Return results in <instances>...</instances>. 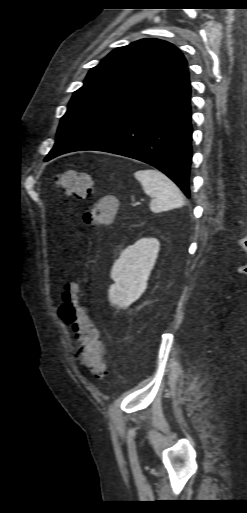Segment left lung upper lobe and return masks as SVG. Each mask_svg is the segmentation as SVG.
Segmentation results:
<instances>
[{"label": "left lung upper lobe", "instance_id": "5c2ea615", "mask_svg": "<svg viewBox=\"0 0 247 513\" xmlns=\"http://www.w3.org/2000/svg\"><path fill=\"white\" fill-rule=\"evenodd\" d=\"M186 67L183 54L171 43L159 39H141L113 50L89 71L84 85L73 94L58 127L55 146Z\"/></svg>", "mask_w": 247, "mask_h": 513}]
</instances>
